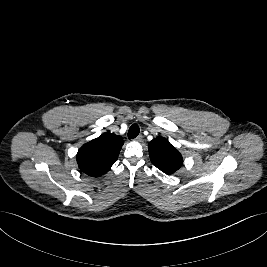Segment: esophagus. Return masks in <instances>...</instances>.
Here are the masks:
<instances>
[{
    "label": "esophagus",
    "instance_id": "34e87169",
    "mask_svg": "<svg viewBox=\"0 0 267 267\" xmlns=\"http://www.w3.org/2000/svg\"><path fill=\"white\" fill-rule=\"evenodd\" d=\"M142 139H143V136H142V135H139V136H137V137L135 138V141H137V142H141Z\"/></svg>",
    "mask_w": 267,
    "mask_h": 267
}]
</instances>
